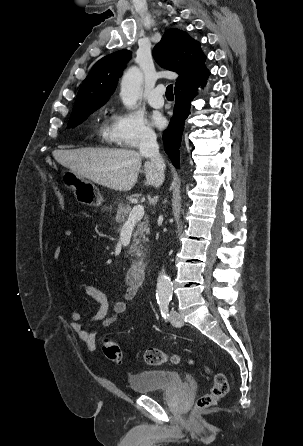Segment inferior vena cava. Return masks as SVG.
<instances>
[{"label":"inferior vena cava","instance_id":"inferior-vena-cava-1","mask_svg":"<svg viewBox=\"0 0 303 446\" xmlns=\"http://www.w3.org/2000/svg\"><path fill=\"white\" fill-rule=\"evenodd\" d=\"M156 139L154 133H147L144 135L139 145V152L141 155L148 157L155 165L158 172L161 175H164L165 163L159 153V146Z\"/></svg>","mask_w":303,"mask_h":446}]
</instances>
